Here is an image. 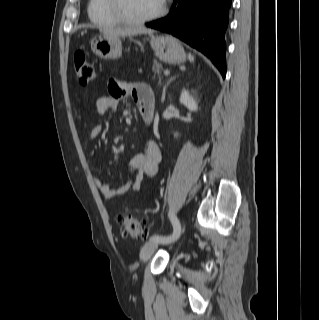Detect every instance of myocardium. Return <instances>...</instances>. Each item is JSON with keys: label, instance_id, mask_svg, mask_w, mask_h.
<instances>
[{"label": "myocardium", "instance_id": "obj_1", "mask_svg": "<svg viewBox=\"0 0 319 320\" xmlns=\"http://www.w3.org/2000/svg\"><path fill=\"white\" fill-rule=\"evenodd\" d=\"M106 6L112 17L125 24H144L157 20L165 14L167 9L165 0H162L160 8L156 12L149 16L138 18L132 17L125 12L122 0H107Z\"/></svg>", "mask_w": 319, "mask_h": 320}]
</instances>
